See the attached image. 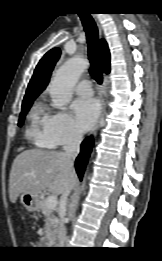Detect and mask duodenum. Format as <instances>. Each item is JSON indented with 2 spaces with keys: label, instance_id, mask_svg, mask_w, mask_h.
<instances>
[{
  "label": "duodenum",
  "instance_id": "obj_1",
  "mask_svg": "<svg viewBox=\"0 0 162 261\" xmlns=\"http://www.w3.org/2000/svg\"><path fill=\"white\" fill-rule=\"evenodd\" d=\"M47 245L51 246V245H53V242H48Z\"/></svg>",
  "mask_w": 162,
  "mask_h": 261
}]
</instances>
